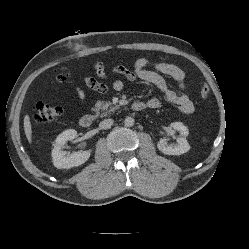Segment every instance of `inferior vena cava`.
<instances>
[{
	"mask_svg": "<svg viewBox=\"0 0 249 249\" xmlns=\"http://www.w3.org/2000/svg\"><path fill=\"white\" fill-rule=\"evenodd\" d=\"M113 123H114L113 119H105L100 122L99 127L100 129H108L111 128Z\"/></svg>",
	"mask_w": 249,
	"mask_h": 249,
	"instance_id": "602c4592",
	"label": "inferior vena cava"
}]
</instances>
